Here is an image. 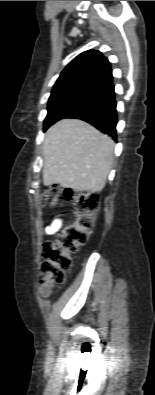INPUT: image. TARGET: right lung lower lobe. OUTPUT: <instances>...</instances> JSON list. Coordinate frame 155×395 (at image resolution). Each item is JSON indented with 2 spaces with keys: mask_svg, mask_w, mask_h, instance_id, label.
Returning <instances> with one entry per match:
<instances>
[{
  "mask_svg": "<svg viewBox=\"0 0 155 395\" xmlns=\"http://www.w3.org/2000/svg\"><path fill=\"white\" fill-rule=\"evenodd\" d=\"M112 82L91 102L67 117L84 120L116 140L117 111Z\"/></svg>",
  "mask_w": 155,
  "mask_h": 395,
  "instance_id": "obj_1",
  "label": "right lung lower lobe"
}]
</instances>
